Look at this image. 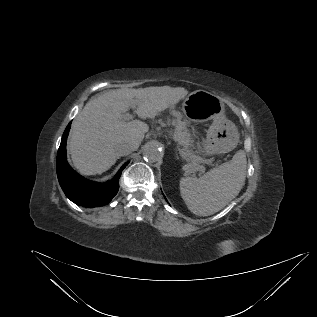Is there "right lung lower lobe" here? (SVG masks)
<instances>
[{
    "mask_svg": "<svg viewBox=\"0 0 317 317\" xmlns=\"http://www.w3.org/2000/svg\"><path fill=\"white\" fill-rule=\"evenodd\" d=\"M70 126L71 123L64 131L57 154L56 170L59 183L65 195L75 204L90 208L104 206L117 194L119 177L128 163L124 164L116 176L106 183L98 184L83 178L69 166L66 160V142Z\"/></svg>",
    "mask_w": 317,
    "mask_h": 317,
    "instance_id": "1",
    "label": "right lung lower lobe"
}]
</instances>
